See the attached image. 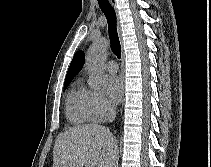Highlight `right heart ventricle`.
<instances>
[{
    "label": "right heart ventricle",
    "instance_id": "1",
    "mask_svg": "<svg viewBox=\"0 0 211 167\" xmlns=\"http://www.w3.org/2000/svg\"><path fill=\"white\" fill-rule=\"evenodd\" d=\"M66 115L74 123H86L93 120L87 90L80 83L75 84L67 95Z\"/></svg>",
    "mask_w": 211,
    "mask_h": 167
}]
</instances>
